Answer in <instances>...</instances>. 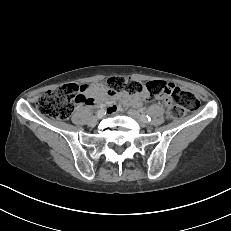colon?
<instances>
[{
  "label": "colon",
  "instance_id": "5ec220e1",
  "mask_svg": "<svg viewBox=\"0 0 231 231\" xmlns=\"http://www.w3.org/2000/svg\"><path fill=\"white\" fill-rule=\"evenodd\" d=\"M107 88L112 92L128 97L144 93L145 99L148 101L161 95L170 96V99L166 101L167 116L170 119H179L186 112L197 111L200 106L193 93L164 81H152L143 85L130 79L112 77L107 81ZM84 99L78 85L67 84L42 94L36 103V107L44 115L56 120H64L71 114L73 103L83 102Z\"/></svg>",
  "mask_w": 231,
  "mask_h": 231
}]
</instances>
